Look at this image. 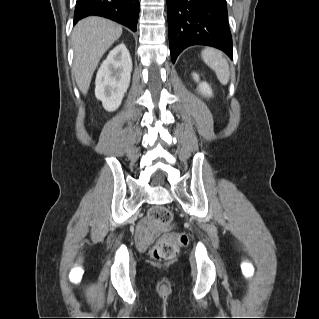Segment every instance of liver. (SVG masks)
<instances>
[{"instance_id": "liver-1", "label": "liver", "mask_w": 319, "mask_h": 319, "mask_svg": "<svg viewBox=\"0 0 319 319\" xmlns=\"http://www.w3.org/2000/svg\"><path fill=\"white\" fill-rule=\"evenodd\" d=\"M121 34V25L96 16L87 17L74 27L71 36L74 49L72 72L84 95L100 59Z\"/></svg>"}]
</instances>
